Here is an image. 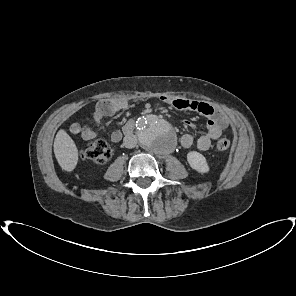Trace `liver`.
I'll use <instances>...</instances> for the list:
<instances>
[{
  "instance_id": "1",
  "label": "liver",
  "mask_w": 296,
  "mask_h": 296,
  "mask_svg": "<svg viewBox=\"0 0 296 296\" xmlns=\"http://www.w3.org/2000/svg\"><path fill=\"white\" fill-rule=\"evenodd\" d=\"M54 154L63 170L71 172L75 169L78 162V149L73 139L63 129L56 134Z\"/></svg>"
}]
</instances>
